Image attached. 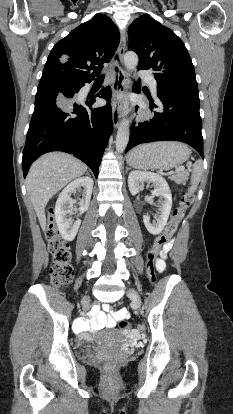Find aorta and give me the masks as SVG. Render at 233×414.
<instances>
[{"label":"aorta","mask_w":233,"mask_h":414,"mask_svg":"<svg viewBox=\"0 0 233 414\" xmlns=\"http://www.w3.org/2000/svg\"><path fill=\"white\" fill-rule=\"evenodd\" d=\"M124 64L128 71H133L136 66L138 65V56L134 52H127L124 55ZM125 107V113H127L128 110V102H124ZM129 142V120L128 119H122L120 122L117 136H116V151L118 153H122Z\"/></svg>","instance_id":"1"}]
</instances>
